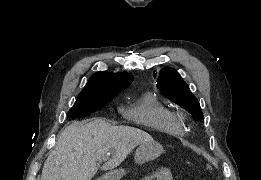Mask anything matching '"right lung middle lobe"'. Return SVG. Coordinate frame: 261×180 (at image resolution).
<instances>
[{
    "label": "right lung middle lobe",
    "mask_w": 261,
    "mask_h": 180,
    "mask_svg": "<svg viewBox=\"0 0 261 180\" xmlns=\"http://www.w3.org/2000/svg\"><path fill=\"white\" fill-rule=\"evenodd\" d=\"M116 96H83L79 95L78 99L70 109V117H84L90 113H93L108 102H110Z\"/></svg>",
    "instance_id": "obj_1"
}]
</instances>
